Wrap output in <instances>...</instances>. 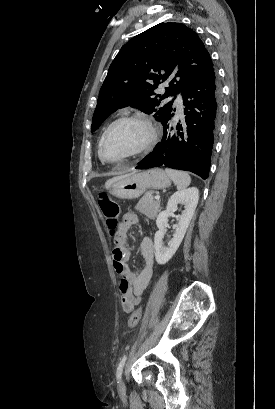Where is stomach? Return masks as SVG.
<instances>
[{
    "mask_svg": "<svg viewBox=\"0 0 275 409\" xmlns=\"http://www.w3.org/2000/svg\"><path fill=\"white\" fill-rule=\"evenodd\" d=\"M170 182L168 174L162 168H150L114 180L109 184L108 190L117 198H138L148 188H166L170 186Z\"/></svg>",
    "mask_w": 275,
    "mask_h": 409,
    "instance_id": "1",
    "label": "stomach"
}]
</instances>
